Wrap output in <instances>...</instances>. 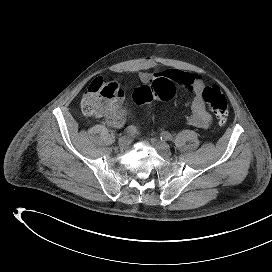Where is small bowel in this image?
I'll use <instances>...</instances> for the list:
<instances>
[{"instance_id":"small-bowel-1","label":"small bowel","mask_w":272,"mask_h":272,"mask_svg":"<svg viewBox=\"0 0 272 272\" xmlns=\"http://www.w3.org/2000/svg\"><path fill=\"white\" fill-rule=\"evenodd\" d=\"M139 78L143 83H149L157 78H166L175 83L176 86L182 88L190 94V98L186 102L190 113L187 116V122L193 127L201 129H209L211 125V115L205 107V101L202 98L201 90L205 86L203 79L180 70H167L157 73H140ZM107 122L113 127H121L125 123V113L121 108V99L118 102V111L111 117L106 118Z\"/></svg>"}]
</instances>
